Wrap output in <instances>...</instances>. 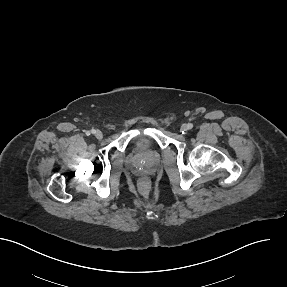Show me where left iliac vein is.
<instances>
[{
    "label": "left iliac vein",
    "instance_id": "left-iliac-vein-1",
    "mask_svg": "<svg viewBox=\"0 0 287 287\" xmlns=\"http://www.w3.org/2000/svg\"><path fill=\"white\" fill-rule=\"evenodd\" d=\"M189 129H188V125L187 124H183L182 126H181V131H183V132H186V131H188Z\"/></svg>",
    "mask_w": 287,
    "mask_h": 287
}]
</instances>
